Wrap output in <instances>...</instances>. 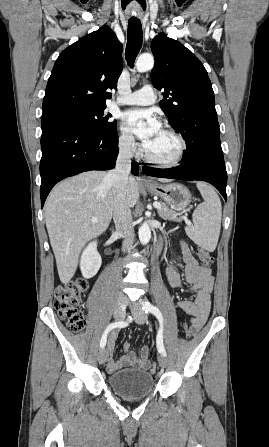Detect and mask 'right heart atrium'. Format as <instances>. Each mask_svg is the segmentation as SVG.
I'll return each mask as SVG.
<instances>
[{"label":"right heart atrium","instance_id":"obj_1","mask_svg":"<svg viewBox=\"0 0 269 447\" xmlns=\"http://www.w3.org/2000/svg\"><path fill=\"white\" fill-rule=\"evenodd\" d=\"M118 144L120 149L127 154H137L140 151V145L128 134H120Z\"/></svg>","mask_w":269,"mask_h":447}]
</instances>
